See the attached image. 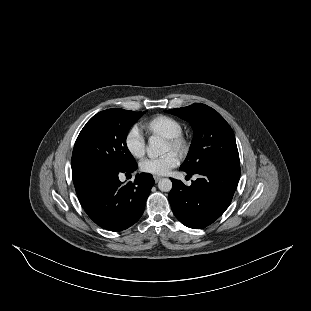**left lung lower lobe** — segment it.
I'll return each instance as SVG.
<instances>
[{
    "instance_id": "obj_1",
    "label": "left lung lower lobe",
    "mask_w": 311,
    "mask_h": 311,
    "mask_svg": "<svg viewBox=\"0 0 311 311\" xmlns=\"http://www.w3.org/2000/svg\"><path fill=\"white\" fill-rule=\"evenodd\" d=\"M186 173L198 174L200 178L189 187L171 179L170 205L185 226L204 228L218 219L231 203L240 178V164L221 163Z\"/></svg>"
}]
</instances>
